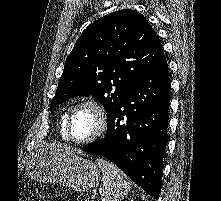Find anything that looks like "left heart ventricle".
<instances>
[{"mask_svg": "<svg viewBox=\"0 0 221 201\" xmlns=\"http://www.w3.org/2000/svg\"><path fill=\"white\" fill-rule=\"evenodd\" d=\"M98 127V120L93 110L79 109L71 121V134L75 139H86L92 136Z\"/></svg>", "mask_w": 221, "mask_h": 201, "instance_id": "left-heart-ventricle-1", "label": "left heart ventricle"}]
</instances>
